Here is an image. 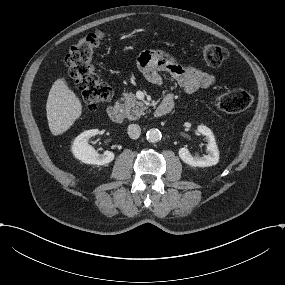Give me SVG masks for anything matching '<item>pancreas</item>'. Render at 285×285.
<instances>
[{
  "label": "pancreas",
  "mask_w": 285,
  "mask_h": 285,
  "mask_svg": "<svg viewBox=\"0 0 285 285\" xmlns=\"http://www.w3.org/2000/svg\"><path fill=\"white\" fill-rule=\"evenodd\" d=\"M121 101H123L121 104L122 113L129 120L139 119L147 109L145 104L138 101L133 93H124Z\"/></svg>",
  "instance_id": "cf45deb5"
}]
</instances>
